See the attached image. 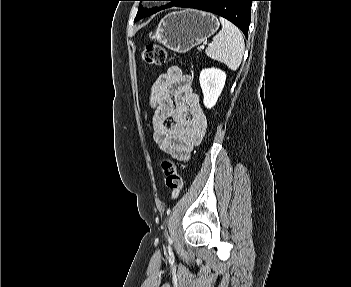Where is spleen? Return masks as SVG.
<instances>
[{"label":"spleen","instance_id":"spleen-1","mask_svg":"<svg viewBox=\"0 0 351 287\" xmlns=\"http://www.w3.org/2000/svg\"><path fill=\"white\" fill-rule=\"evenodd\" d=\"M221 31L213 37V43L206 49V54L236 70L242 61L244 39L240 30L228 20L220 17Z\"/></svg>","mask_w":351,"mask_h":287}]
</instances>
